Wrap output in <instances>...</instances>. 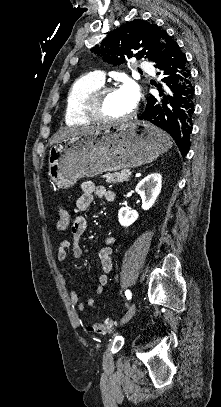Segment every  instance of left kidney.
<instances>
[{
  "label": "left kidney",
  "mask_w": 221,
  "mask_h": 407,
  "mask_svg": "<svg viewBox=\"0 0 221 407\" xmlns=\"http://www.w3.org/2000/svg\"><path fill=\"white\" fill-rule=\"evenodd\" d=\"M162 188V176L159 173H152L142 179L136 186L135 191L140 195L142 200V209L149 210L155 203ZM136 211L126 207L120 208L118 211L119 223L128 227L132 225L138 218Z\"/></svg>",
  "instance_id": "obj_1"
}]
</instances>
